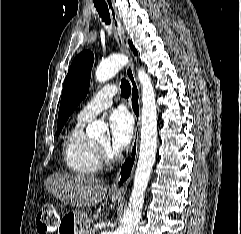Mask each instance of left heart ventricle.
I'll list each match as a JSON object with an SVG mask.
<instances>
[{
    "mask_svg": "<svg viewBox=\"0 0 241 234\" xmlns=\"http://www.w3.org/2000/svg\"><path fill=\"white\" fill-rule=\"evenodd\" d=\"M108 142H109L108 137H105L99 141V144L108 146Z\"/></svg>",
    "mask_w": 241,
    "mask_h": 234,
    "instance_id": "obj_1",
    "label": "left heart ventricle"
}]
</instances>
